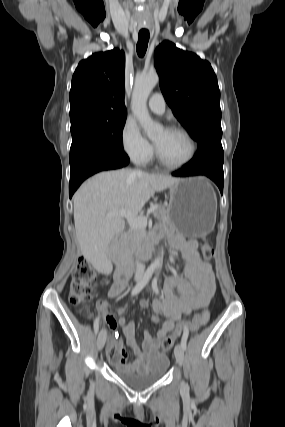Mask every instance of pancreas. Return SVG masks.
Returning <instances> with one entry per match:
<instances>
[{"instance_id": "obj_1", "label": "pancreas", "mask_w": 285, "mask_h": 427, "mask_svg": "<svg viewBox=\"0 0 285 427\" xmlns=\"http://www.w3.org/2000/svg\"><path fill=\"white\" fill-rule=\"evenodd\" d=\"M157 209L153 212L154 217L159 222L166 223L168 221V207L166 204H155ZM146 238V230L144 227H130L124 238V245L130 249L131 252L136 251Z\"/></svg>"}]
</instances>
